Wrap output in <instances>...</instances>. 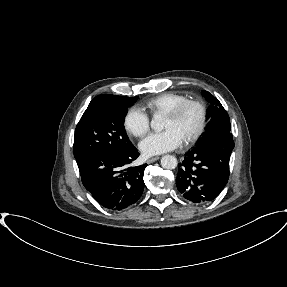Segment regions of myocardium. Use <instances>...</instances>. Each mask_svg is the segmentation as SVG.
Segmentation results:
<instances>
[{
    "instance_id": "f54148a6",
    "label": "myocardium",
    "mask_w": 287,
    "mask_h": 287,
    "mask_svg": "<svg viewBox=\"0 0 287 287\" xmlns=\"http://www.w3.org/2000/svg\"><path fill=\"white\" fill-rule=\"evenodd\" d=\"M188 107H194L198 111V123L195 129L190 133V135L184 139L185 144H192L196 142L204 133L206 125H207V108L206 105L196 99H186L185 101L181 102L171 110L165 113V116H168L172 119L178 118Z\"/></svg>"
}]
</instances>
